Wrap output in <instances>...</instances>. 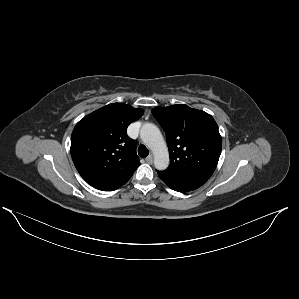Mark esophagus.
<instances>
[{"mask_svg": "<svg viewBox=\"0 0 299 299\" xmlns=\"http://www.w3.org/2000/svg\"><path fill=\"white\" fill-rule=\"evenodd\" d=\"M145 160H146L147 163L152 164V162H153V156L150 155V156L146 157Z\"/></svg>", "mask_w": 299, "mask_h": 299, "instance_id": "34e87169", "label": "esophagus"}]
</instances>
